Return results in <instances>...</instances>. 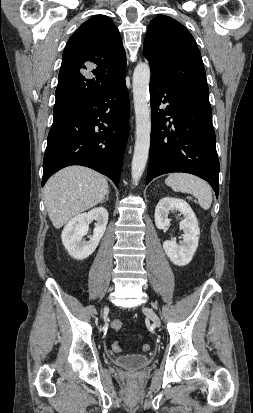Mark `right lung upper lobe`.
<instances>
[{"label": "right lung upper lobe", "mask_w": 253, "mask_h": 413, "mask_svg": "<svg viewBox=\"0 0 253 413\" xmlns=\"http://www.w3.org/2000/svg\"><path fill=\"white\" fill-rule=\"evenodd\" d=\"M85 63L89 77L83 75ZM126 57L119 30L113 21L97 15L84 22L69 38L58 75L56 102L58 114L109 89L125 77Z\"/></svg>", "instance_id": "obj_1"}]
</instances>
